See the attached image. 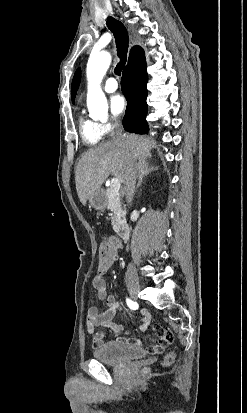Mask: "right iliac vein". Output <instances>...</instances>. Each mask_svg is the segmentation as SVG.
Masks as SVG:
<instances>
[{
	"label": "right iliac vein",
	"mask_w": 247,
	"mask_h": 413,
	"mask_svg": "<svg viewBox=\"0 0 247 413\" xmlns=\"http://www.w3.org/2000/svg\"><path fill=\"white\" fill-rule=\"evenodd\" d=\"M139 291H140V287H139L138 284H134V285L129 287V293H130L131 297L135 300H137V298H138Z\"/></svg>",
	"instance_id": "obj_1"
}]
</instances>
